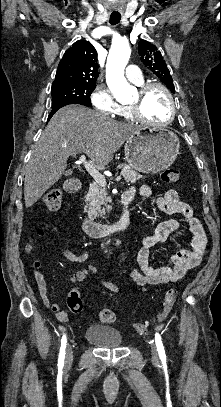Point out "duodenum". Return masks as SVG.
<instances>
[{
	"label": "duodenum",
	"instance_id": "410a0bca",
	"mask_svg": "<svg viewBox=\"0 0 221 407\" xmlns=\"http://www.w3.org/2000/svg\"><path fill=\"white\" fill-rule=\"evenodd\" d=\"M82 183H68L67 189L71 193H76L82 190ZM122 215L120 219L114 223H98L90 219L83 221L84 231L89 236L99 237L105 236L114 232H121L127 230L130 226V199L128 196L121 197Z\"/></svg>",
	"mask_w": 221,
	"mask_h": 407
}]
</instances>
